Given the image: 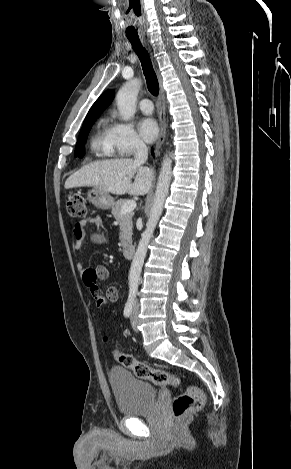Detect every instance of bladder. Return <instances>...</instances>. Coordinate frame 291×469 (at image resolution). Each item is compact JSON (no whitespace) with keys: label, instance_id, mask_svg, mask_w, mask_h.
Returning a JSON list of instances; mask_svg holds the SVG:
<instances>
[{"label":"bladder","instance_id":"1","mask_svg":"<svg viewBox=\"0 0 291 469\" xmlns=\"http://www.w3.org/2000/svg\"><path fill=\"white\" fill-rule=\"evenodd\" d=\"M109 380L118 412L121 415L139 416L153 408L157 392L150 383L135 377L122 367L112 368L109 372Z\"/></svg>","mask_w":291,"mask_h":469}]
</instances>
